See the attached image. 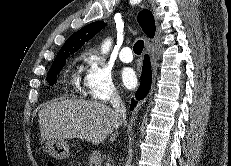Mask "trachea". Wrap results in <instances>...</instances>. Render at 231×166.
I'll list each match as a JSON object with an SVG mask.
<instances>
[{"label":"trachea","mask_w":231,"mask_h":166,"mask_svg":"<svg viewBox=\"0 0 231 166\" xmlns=\"http://www.w3.org/2000/svg\"><path fill=\"white\" fill-rule=\"evenodd\" d=\"M144 48V42L142 40H138L133 47L134 53L137 55H141Z\"/></svg>","instance_id":"3493384b"}]
</instances>
